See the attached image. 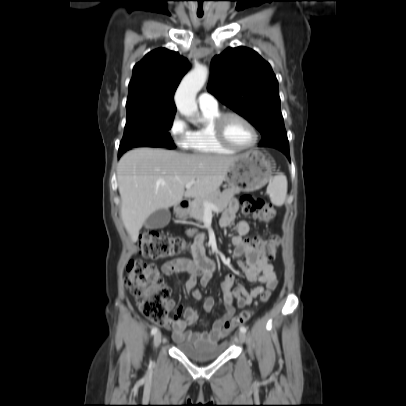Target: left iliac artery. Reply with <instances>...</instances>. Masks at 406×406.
<instances>
[{"mask_svg":"<svg viewBox=\"0 0 406 406\" xmlns=\"http://www.w3.org/2000/svg\"><path fill=\"white\" fill-rule=\"evenodd\" d=\"M247 328L245 326L240 327V332L246 333Z\"/></svg>","mask_w":406,"mask_h":406,"instance_id":"1","label":"left iliac artery"}]
</instances>
